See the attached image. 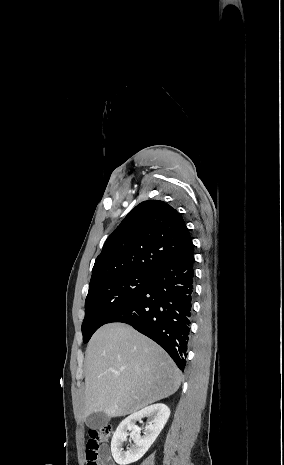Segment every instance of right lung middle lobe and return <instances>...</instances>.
I'll return each instance as SVG.
<instances>
[{"mask_svg": "<svg viewBox=\"0 0 284 465\" xmlns=\"http://www.w3.org/2000/svg\"><path fill=\"white\" fill-rule=\"evenodd\" d=\"M152 275L126 274L100 281L89 287L85 318L81 327L83 342L117 312L128 305L149 283Z\"/></svg>", "mask_w": 284, "mask_h": 465, "instance_id": "right-lung-middle-lobe-1", "label": "right lung middle lobe"}]
</instances>
